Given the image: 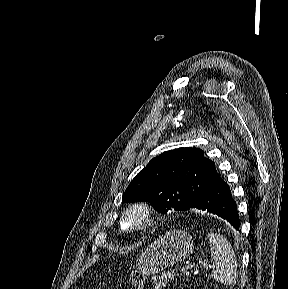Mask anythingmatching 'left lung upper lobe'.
I'll list each match as a JSON object with an SVG mask.
<instances>
[{
    "label": "left lung upper lobe",
    "mask_w": 288,
    "mask_h": 289,
    "mask_svg": "<svg viewBox=\"0 0 288 289\" xmlns=\"http://www.w3.org/2000/svg\"><path fill=\"white\" fill-rule=\"evenodd\" d=\"M220 175L198 148H179L153 158L129 184L124 202L147 201L162 214L186 211Z\"/></svg>",
    "instance_id": "left-lung-upper-lobe-1"
}]
</instances>
